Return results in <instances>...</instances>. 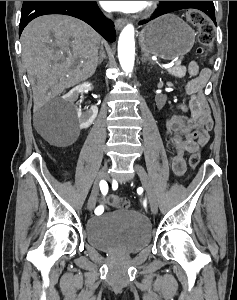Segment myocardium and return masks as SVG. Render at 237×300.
Instances as JSON below:
<instances>
[{
    "mask_svg": "<svg viewBox=\"0 0 237 300\" xmlns=\"http://www.w3.org/2000/svg\"><path fill=\"white\" fill-rule=\"evenodd\" d=\"M156 9V1H146L144 3L142 12H141V17L142 18H148L150 17Z\"/></svg>",
    "mask_w": 237,
    "mask_h": 300,
    "instance_id": "myocardium-1",
    "label": "myocardium"
}]
</instances>
